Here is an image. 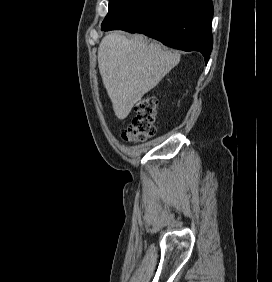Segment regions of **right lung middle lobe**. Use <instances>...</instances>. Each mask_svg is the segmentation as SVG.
Instances as JSON below:
<instances>
[{
    "mask_svg": "<svg viewBox=\"0 0 272 282\" xmlns=\"http://www.w3.org/2000/svg\"><path fill=\"white\" fill-rule=\"evenodd\" d=\"M137 0H109L108 14L102 22L101 28L106 27L109 23L119 17Z\"/></svg>",
    "mask_w": 272,
    "mask_h": 282,
    "instance_id": "right-lung-middle-lobe-1",
    "label": "right lung middle lobe"
}]
</instances>
